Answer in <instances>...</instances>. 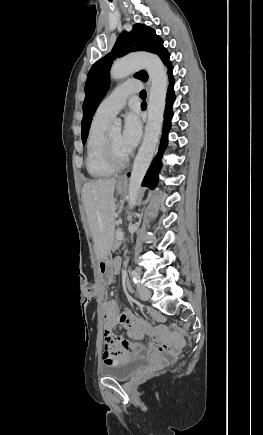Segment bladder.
<instances>
[{
    "instance_id": "bladder-1",
    "label": "bladder",
    "mask_w": 263,
    "mask_h": 435,
    "mask_svg": "<svg viewBox=\"0 0 263 435\" xmlns=\"http://www.w3.org/2000/svg\"><path fill=\"white\" fill-rule=\"evenodd\" d=\"M147 363V358L134 356L117 363H105L100 368V374L104 377L125 381L133 377Z\"/></svg>"
}]
</instances>
